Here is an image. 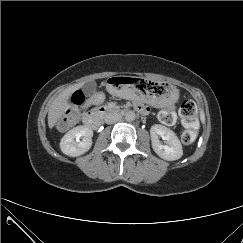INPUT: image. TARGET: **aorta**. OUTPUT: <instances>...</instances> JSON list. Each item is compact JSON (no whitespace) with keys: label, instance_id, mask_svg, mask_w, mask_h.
Masks as SVG:
<instances>
[{"label":"aorta","instance_id":"aorta-1","mask_svg":"<svg viewBox=\"0 0 243 243\" xmlns=\"http://www.w3.org/2000/svg\"><path fill=\"white\" fill-rule=\"evenodd\" d=\"M136 119V114L134 111H127L125 113V120L128 122H132Z\"/></svg>","mask_w":243,"mask_h":243}]
</instances>
